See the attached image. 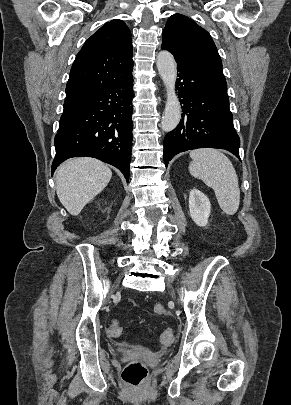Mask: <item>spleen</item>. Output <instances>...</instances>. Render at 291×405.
<instances>
[{
    "label": "spleen",
    "mask_w": 291,
    "mask_h": 405,
    "mask_svg": "<svg viewBox=\"0 0 291 405\" xmlns=\"http://www.w3.org/2000/svg\"><path fill=\"white\" fill-rule=\"evenodd\" d=\"M190 174L211 187L220 208L227 215H234L240 203L238 178L232 162L215 149H198L190 152Z\"/></svg>",
    "instance_id": "spleen-1"
}]
</instances>
